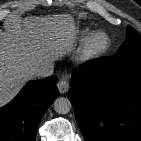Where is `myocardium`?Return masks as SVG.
Here are the masks:
<instances>
[{"label": "myocardium", "mask_w": 141, "mask_h": 141, "mask_svg": "<svg viewBox=\"0 0 141 141\" xmlns=\"http://www.w3.org/2000/svg\"><path fill=\"white\" fill-rule=\"evenodd\" d=\"M111 46L110 36L102 30L91 33L84 41L78 60L81 63H90L104 56Z\"/></svg>", "instance_id": "myocardium-1"}]
</instances>
